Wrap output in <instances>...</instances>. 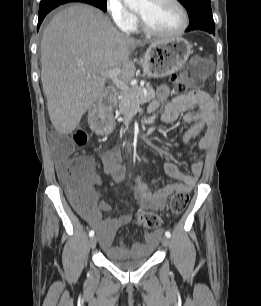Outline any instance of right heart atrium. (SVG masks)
<instances>
[{"label": "right heart atrium", "instance_id": "obj_1", "mask_svg": "<svg viewBox=\"0 0 261 306\" xmlns=\"http://www.w3.org/2000/svg\"><path fill=\"white\" fill-rule=\"evenodd\" d=\"M106 9L115 26L122 31H130L135 24V15L122 0H106Z\"/></svg>", "mask_w": 261, "mask_h": 306}]
</instances>
